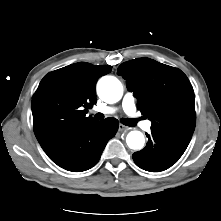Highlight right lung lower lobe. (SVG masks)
<instances>
[{
  "label": "right lung lower lobe",
  "instance_id": "right-lung-lower-lobe-1",
  "mask_svg": "<svg viewBox=\"0 0 221 221\" xmlns=\"http://www.w3.org/2000/svg\"><path fill=\"white\" fill-rule=\"evenodd\" d=\"M118 126L119 122L115 118L93 121L68 132L45 153L54 163L68 171L88 170L98 162Z\"/></svg>",
  "mask_w": 221,
  "mask_h": 221
}]
</instances>
